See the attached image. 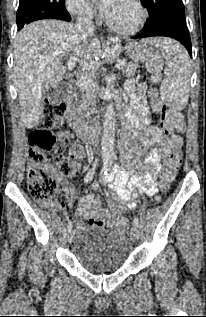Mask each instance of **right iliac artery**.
I'll return each instance as SVG.
<instances>
[{"label":"right iliac artery","instance_id":"1","mask_svg":"<svg viewBox=\"0 0 206 317\" xmlns=\"http://www.w3.org/2000/svg\"><path fill=\"white\" fill-rule=\"evenodd\" d=\"M102 173L106 174V171H105V170H102V171H101V174H102ZM72 226H73L72 221H68L67 227H68V228H72Z\"/></svg>","mask_w":206,"mask_h":317}]
</instances>
